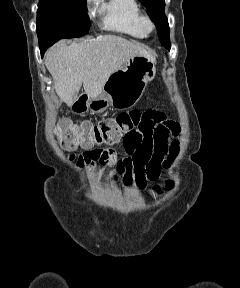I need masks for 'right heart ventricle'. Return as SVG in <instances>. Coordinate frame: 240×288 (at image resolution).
I'll use <instances>...</instances> for the list:
<instances>
[{
  "instance_id": "obj_1",
  "label": "right heart ventricle",
  "mask_w": 240,
  "mask_h": 288,
  "mask_svg": "<svg viewBox=\"0 0 240 288\" xmlns=\"http://www.w3.org/2000/svg\"><path fill=\"white\" fill-rule=\"evenodd\" d=\"M99 14L106 30L134 38L145 37L138 24L141 7L137 0H102Z\"/></svg>"
}]
</instances>
